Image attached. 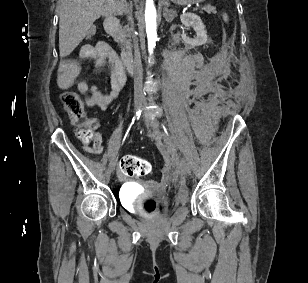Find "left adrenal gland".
<instances>
[{"instance_id": "left-adrenal-gland-1", "label": "left adrenal gland", "mask_w": 308, "mask_h": 283, "mask_svg": "<svg viewBox=\"0 0 308 283\" xmlns=\"http://www.w3.org/2000/svg\"><path fill=\"white\" fill-rule=\"evenodd\" d=\"M161 4L164 6V18L167 22H172L174 17L176 16V11L174 9H169L168 0H162Z\"/></svg>"}]
</instances>
